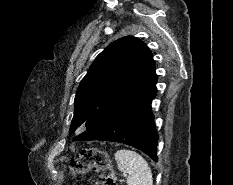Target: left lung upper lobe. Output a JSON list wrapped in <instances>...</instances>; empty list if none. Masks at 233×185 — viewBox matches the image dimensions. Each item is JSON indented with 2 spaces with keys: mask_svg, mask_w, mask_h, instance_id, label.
Returning a JSON list of instances; mask_svg holds the SVG:
<instances>
[{
  "mask_svg": "<svg viewBox=\"0 0 233 185\" xmlns=\"http://www.w3.org/2000/svg\"><path fill=\"white\" fill-rule=\"evenodd\" d=\"M154 68L152 53L138 38L128 36L111 43L79 85L70 132L79 126L94 127L126 90Z\"/></svg>",
  "mask_w": 233,
  "mask_h": 185,
  "instance_id": "1",
  "label": "left lung upper lobe"
}]
</instances>
